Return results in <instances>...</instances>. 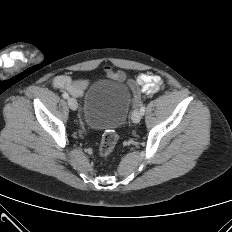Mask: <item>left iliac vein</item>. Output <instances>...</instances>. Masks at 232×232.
Masks as SVG:
<instances>
[{
    "mask_svg": "<svg viewBox=\"0 0 232 232\" xmlns=\"http://www.w3.org/2000/svg\"><path fill=\"white\" fill-rule=\"evenodd\" d=\"M141 117H142V114L140 111L138 110H135L133 113H132V121L133 123H139L140 120H141Z\"/></svg>",
    "mask_w": 232,
    "mask_h": 232,
    "instance_id": "1",
    "label": "left iliac vein"
}]
</instances>
